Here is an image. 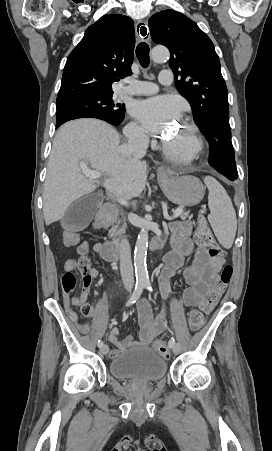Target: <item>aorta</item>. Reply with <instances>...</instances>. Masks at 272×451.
I'll return each mask as SVG.
<instances>
[{
	"label": "aorta",
	"instance_id": "762f6f07",
	"mask_svg": "<svg viewBox=\"0 0 272 451\" xmlns=\"http://www.w3.org/2000/svg\"><path fill=\"white\" fill-rule=\"evenodd\" d=\"M150 58L157 64H162L169 60L170 54L167 48H153L150 52ZM148 249V229H140L134 249V267L137 281H147L148 271L146 255Z\"/></svg>",
	"mask_w": 272,
	"mask_h": 451
}]
</instances>
